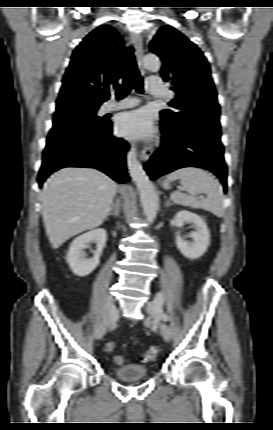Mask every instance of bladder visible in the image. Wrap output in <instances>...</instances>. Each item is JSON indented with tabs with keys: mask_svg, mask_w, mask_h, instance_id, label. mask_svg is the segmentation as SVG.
Returning a JSON list of instances; mask_svg holds the SVG:
<instances>
[{
	"mask_svg": "<svg viewBox=\"0 0 273 430\" xmlns=\"http://www.w3.org/2000/svg\"><path fill=\"white\" fill-rule=\"evenodd\" d=\"M113 375L123 382H135L148 377V370L141 364H125L113 370Z\"/></svg>",
	"mask_w": 273,
	"mask_h": 430,
	"instance_id": "1",
	"label": "bladder"
}]
</instances>
